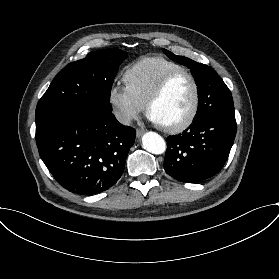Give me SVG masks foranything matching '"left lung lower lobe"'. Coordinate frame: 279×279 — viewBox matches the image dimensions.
Masks as SVG:
<instances>
[{
	"mask_svg": "<svg viewBox=\"0 0 279 279\" xmlns=\"http://www.w3.org/2000/svg\"><path fill=\"white\" fill-rule=\"evenodd\" d=\"M236 135L235 117L205 115L167 138L166 173L181 182H200L224 166Z\"/></svg>",
	"mask_w": 279,
	"mask_h": 279,
	"instance_id": "0a47b994",
	"label": "left lung lower lobe"
}]
</instances>
